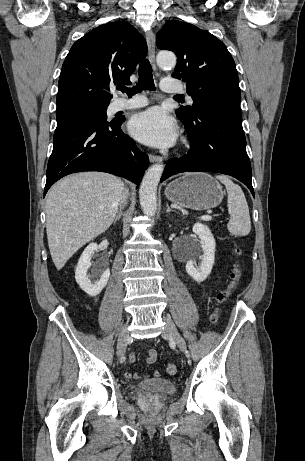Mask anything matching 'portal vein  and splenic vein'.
Returning <instances> with one entry per match:
<instances>
[{
  "label": "portal vein and splenic vein",
  "mask_w": 305,
  "mask_h": 461,
  "mask_svg": "<svg viewBox=\"0 0 305 461\" xmlns=\"http://www.w3.org/2000/svg\"><path fill=\"white\" fill-rule=\"evenodd\" d=\"M200 219L203 220V221H209V220L212 219V217H211L210 215L207 214V215L201 216Z\"/></svg>",
  "instance_id": "portal-vein-and-splenic-vein-1"
}]
</instances>
